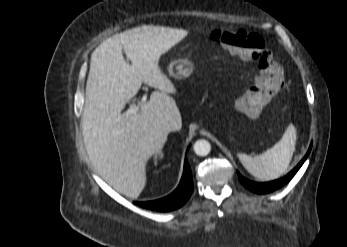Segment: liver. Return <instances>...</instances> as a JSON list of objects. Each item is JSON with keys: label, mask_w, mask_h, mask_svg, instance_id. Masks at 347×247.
Returning <instances> with one entry per match:
<instances>
[{"label": "liver", "mask_w": 347, "mask_h": 247, "mask_svg": "<svg viewBox=\"0 0 347 247\" xmlns=\"http://www.w3.org/2000/svg\"><path fill=\"white\" fill-rule=\"evenodd\" d=\"M187 35L186 30L143 26L115 34L92 53L86 83L82 133L88 157L98 174L117 192L137 198L147 177V161L167 141L164 121L182 127L176 88L159 67L160 56ZM129 65L124 57L123 51ZM142 83L159 89L136 114L118 116Z\"/></svg>", "instance_id": "6515ba94"}]
</instances>
